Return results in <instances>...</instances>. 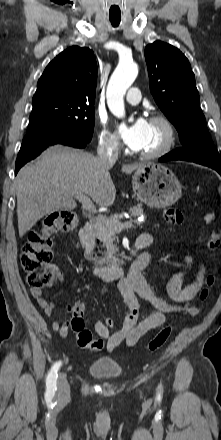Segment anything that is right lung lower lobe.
I'll list each match as a JSON object with an SVG mask.
<instances>
[{"label": "right lung lower lobe", "instance_id": "98d812e1", "mask_svg": "<svg viewBox=\"0 0 221 440\" xmlns=\"http://www.w3.org/2000/svg\"><path fill=\"white\" fill-rule=\"evenodd\" d=\"M89 142L90 140L57 132L44 131L27 134L23 139L16 159L15 174H17L23 165L35 159L48 146L54 144H63L76 148H84Z\"/></svg>", "mask_w": 221, "mask_h": 440}]
</instances>
